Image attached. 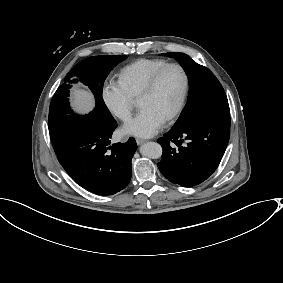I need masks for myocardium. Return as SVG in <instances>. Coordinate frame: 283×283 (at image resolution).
<instances>
[{"instance_id": "myocardium-1", "label": "myocardium", "mask_w": 283, "mask_h": 283, "mask_svg": "<svg viewBox=\"0 0 283 283\" xmlns=\"http://www.w3.org/2000/svg\"><path fill=\"white\" fill-rule=\"evenodd\" d=\"M173 67L178 68L182 73L183 89H182V93L180 95V98L177 102V105L172 110V112L164 119V121H166V122L173 120L175 117H177L180 114V112L183 109L186 97H187V93H188V90H189V76H188V73H187L186 69L184 68V66H182L179 63H168V64L164 65L163 67H161L160 69L155 71L150 76V78L146 81L142 91L140 92V94L138 96V102H139L142 98L150 95L154 91V89H155L159 79L162 77V75L168 69L173 68Z\"/></svg>"}]
</instances>
